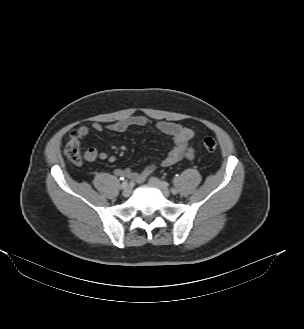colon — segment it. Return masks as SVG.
<instances>
[{
    "label": "colon",
    "mask_w": 304,
    "mask_h": 329,
    "mask_svg": "<svg viewBox=\"0 0 304 329\" xmlns=\"http://www.w3.org/2000/svg\"><path fill=\"white\" fill-rule=\"evenodd\" d=\"M203 146L206 150L213 152L217 148V142L213 137L207 136L203 139ZM64 152L72 162H81V137L77 131L70 132L69 137L65 143Z\"/></svg>",
    "instance_id": "1"
}]
</instances>
